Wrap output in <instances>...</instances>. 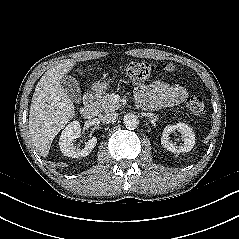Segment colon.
Returning <instances> with one entry per match:
<instances>
[{
    "label": "colon",
    "instance_id": "5ec220e1",
    "mask_svg": "<svg viewBox=\"0 0 239 239\" xmlns=\"http://www.w3.org/2000/svg\"><path fill=\"white\" fill-rule=\"evenodd\" d=\"M155 69L156 66L147 61L131 62L126 67V75L133 83L141 84L151 76ZM162 69L167 73H171L175 67L171 64H165ZM186 106L195 116H201L205 113V102L200 95L189 96L186 99Z\"/></svg>",
    "mask_w": 239,
    "mask_h": 239
}]
</instances>
